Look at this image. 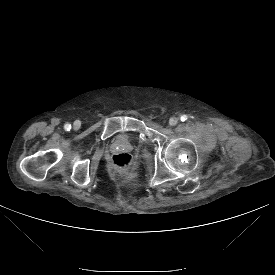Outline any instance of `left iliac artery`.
Returning a JSON list of instances; mask_svg holds the SVG:
<instances>
[{
  "label": "left iliac artery",
  "instance_id": "obj_1",
  "mask_svg": "<svg viewBox=\"0 0 275 275\" xmlns=\"http://www.w3.org/2000/svg\"><path fill=\"white\" fill-rule=\"evenodd\" d=\"M185 120H187V116L186 115L181 116V121H185Z\"/></svg>",
  "mask_w": 275,
  "mask_h": 275
}]
</instances>
